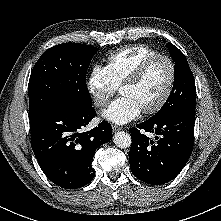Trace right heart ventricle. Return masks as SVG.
Segmentation results:
<instances>
[{
	"label": "right heart ventricle",
	"mask_w": 221,
	"mask_h": 221,
	"mask_svg": "<svg viewBox=\"0 0 221 221\" xmlns=\"http://www.w3.org/2000/svg\"><path fill=\"white\" fill-rule=\"evenodd\" d=\"M159 52L147 45H134L111 52L107 56V69L116 86L120 85L146 58Z\"/></svg>",
	"instance_id": "1"
}]
</instances>
